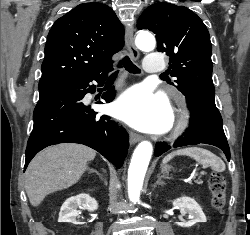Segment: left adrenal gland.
<instances>
[{
    "label": "left adrenal gland",
    "mask_w": 250,
    "mask_h": 235,
    "mask_svg": "<svg viewBox=\"0 0 250 235\" xmlns=\"http://www.w3.org/2000/svg\"><path fill=\"white\" fill-rule=\"evenodd\" d=\"M157 178H158L157 182L154 184L153 188H156L157 185H163V184H165L164 182H162L161 176L159 174L157 175Z\"/></svg>",
    "instance_id": "a2214340"
}]
</instances>
